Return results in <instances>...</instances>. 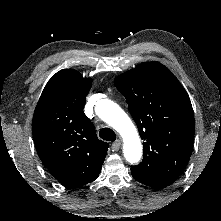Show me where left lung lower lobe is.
<instances>
[{
    "label": "left lung lower lobe",
    "instance_id": "0a47b994",
    "mask_svg": "<svg viewBox=\"0 0 221 221\" xmlns=\"http://www.w3.org/2000/svg\"><path fill=\"white\" fill-rule=\"evenodd\" d=\"M162 187H165V185H156V186H152V188H155V189H159V188H162Z\"/></svg>",
    "mask_w": 221,
    "mask_h": 221
}]
</instances>
